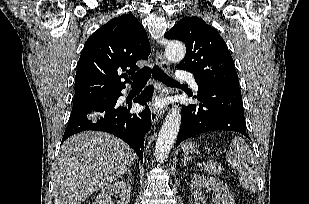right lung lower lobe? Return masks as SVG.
<instances>
[{
  "instance_id": "right-lung-lower-lobe-1",
  "label": "right lung lower lobe",
  "mask_w": 309,
  "mask_h": 204,
  "mask_svg": "<svg viewBox=\"0 0 309 204\" xmlns=\"http://www.w3.org/2000/svg\"><path fill=\"white\" fill-rule=\"evenodd\" d=\"M151 93L152 87L148 86L134 101L145 105ZM121 95L120 91L105 98L74 105L62 143L71 135L81 131H103L124 140L142 161L143 139L151 127L150 110L146 107L139 114H131L129 112L131 105L129 107L116 105Z\"/></svg>"
}]
</instances>
